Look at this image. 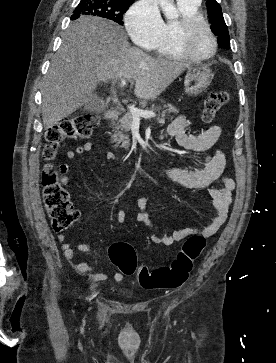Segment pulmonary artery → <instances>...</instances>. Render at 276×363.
<instances>
[{"label":"pulmonary artery","instance_id":"obj_1","mask_svg":"<svg viewBox=\"0 0 276 363\" xmlns=\"http://www.w3.org/2000/svg\"><path fill=\"white\" fill-rule=\"evenodd\" d=\"M178 2H183V3H197L200 0H177Z\"/></svg>","mask_w":276,"mask_h":363}]
</instances>
